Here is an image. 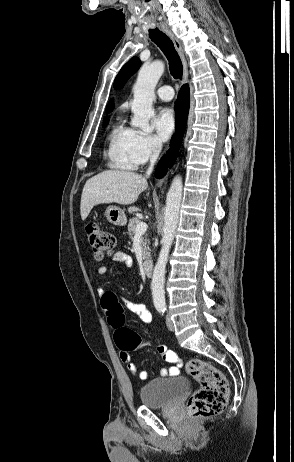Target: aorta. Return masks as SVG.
I'll list each match as a JSON object with an SVG mask.
<instances>
[{"mask_svg": "<svg viewBox=\"0 0 294 462\" xmlns=\"http://www.w3.org/2000/svg\"><path fill=\"white\" fill-rule=\"evenodd\" d=\"M164 68L165 66L162 61H154L149 65H144L140 69L137 81L133 87L134 100L131 105V110L134 116L131 120V125L140 128L146 133L151 131L149 121L154 115V110L152 108V102L155 97L154 89L164 72ZM182 191V178L176 176L172 181L166 197L163 235L161 240L162 247L154 267L151 281L153 303L156 308L165 307V269L178 225Z\"/></svg>", "mask_w": 294, "mask_h": 462, "instance_id": "obj_1", "label": "aorta"}]
</instances>
